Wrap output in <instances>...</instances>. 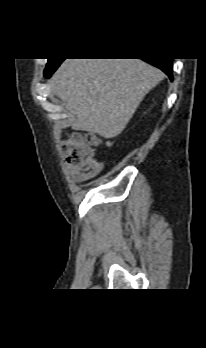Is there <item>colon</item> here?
<instances>
[{"instance_id":"5ec220e1","label":"colon","mask_w":206,"mask_h":348,"mask_svg":"<svg viewBox=\"0 0 206 348\" xmlns=\"http://www.w3.org/2000/svg\"><path fill=\"white\" fill-rule=\"evenodd\" d=\"M100 139L94 135L70 134L61 144V153L72 167H82L94 161V148Z\"/></svg>"}]
</instances>
